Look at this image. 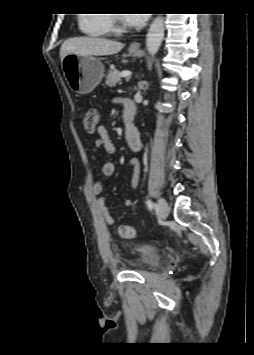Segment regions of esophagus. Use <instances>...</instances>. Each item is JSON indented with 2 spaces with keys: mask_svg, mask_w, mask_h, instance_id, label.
I'll use <instances>...</instances> for the list:
<instances>
[{
  "mask_svg": "<svg viewBox=\"0 0 254 355\" xmlns=\"http://www.w3.org/2000/svg\"><path fill=\"white\" fill-rule=\"evenodd\" d=\"M130 47H131V49H133V50H138V49L140 48V43H138V42H133V43H131Z\"/></svg>",
  "mask_w": 254,
  "mask_h": 355,
  "instance_id": "34e87169",
  "label": "esophagus"
}]
</instances>
